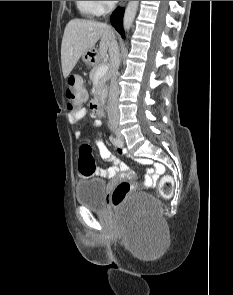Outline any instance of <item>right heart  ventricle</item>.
<instances>
[{
    "mask_svg": "<svg viewBox=\"0 0 233 295\" xmlns=\"http://www.w3.org/2000/svg\"><path fill=\"white\" fill-rule=\"evenodd\" d=\"M75 3L78 11L83 16L95 17L101 13L96 1H75Z\"/></svg>",
    "mask_w": 233,
    "mask_h": 295,
    "instance_id": "right-heart-ventricle-1",
    "label": "right heart ventricle"
}]
</instances>
